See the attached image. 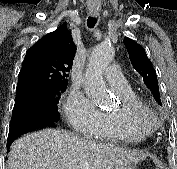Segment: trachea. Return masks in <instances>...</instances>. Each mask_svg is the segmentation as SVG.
<instances>
[{"label": "trachea", "mask_w": 177, "mask_h": 169, "mask_svg": "<svg viewBox=\"0 0 177 169\" xmlns=\"http://www.w3.org/2000/svg\"><path fill=\"white\" fill-rule=\"evenodd\" d=\"M96 22H97V19L95 18V17H88V19H87V26L89 27V28H93L94 27V25L96 24Z\"/></svg>", "instance_id": "obj_1"}]
</instances>
